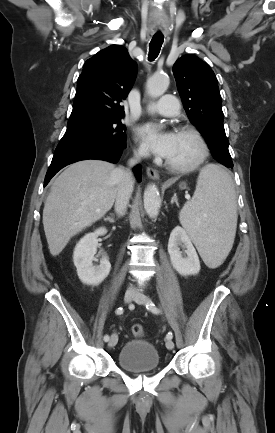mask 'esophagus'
Segmentation results:
<instances>
[{"instance_id":"obj_1","label":"esophagus","mask_w":275,"mask_h":433,"mask_svg":"<svg viewBox=\"0 0 275 433\" xmlns=\"http://www.w3.org/2000/svg\"><path fill=\"white\" fill-rule=\"evenodd\" d=\"M146 173H147V176L153 180H159V178H160L158 171L152 167H147Z\"/></svg>"}]
</instances>
